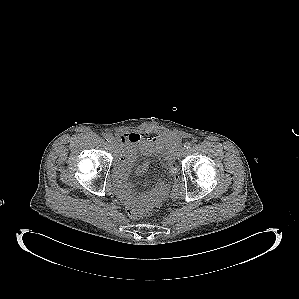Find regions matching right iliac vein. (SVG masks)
Returning <instances> with one entry per match:
<instances>
[{
    "mask_svg": "<svg viewBox=\"0 0 299 299\" xmlns=\"http://www.w3.org/2000/svg\"><path fill=\"white\" fill-rule=\"evenodd\" d=\"M117 143H118L117 140L115 138H113V140L111 141L112 147L115 148Z\"/></svg>",
    "mask_w": 299,
    "mask_h": 299,
    "instance_id": "1",
    "label": "right iliac vein"
}]
</instances>
